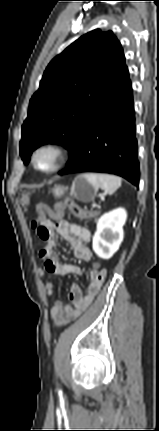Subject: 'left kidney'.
Wrapping results in <instances>:
<instances>
[{"label": "left kidney", "instance_id": "1", "mask_svg": "<svg viewBox=\"0 0 159 431\" xmlns=\"http://www.w3.org/2000/svg\"><path fill=\"white\" fill-rule=\"evenodd\" d=\"M127 213L117 208L103 214L97 222V230L93 237V250L102 259H110L119 249L123 241V225Z\"/></svg>", "mask_w": 159, "mask_h": 431}]
</instances>
